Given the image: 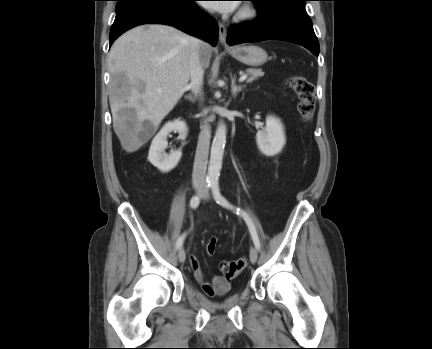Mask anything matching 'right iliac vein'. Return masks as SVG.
Here are the masks:
<instances>
[{
	"label": "right iliac vein",
	"mask_w": 432,
	"mask_h": 349,
	"mask_svg": "<svg viewBox=\"0 0 432 349\" xmlns=\"http://www.w3.org/2000/svg\"><path fill=\"white\" fill-rule=\"evenodd\" d=\"M197 193H201L200 189H197ZM178 258L180 262H184L186 259V253L185 250L183 248H180L179 252H178Z\"/></svg>",
	"instance_id": "right-iliac-vein-1"
}]
</instances>
